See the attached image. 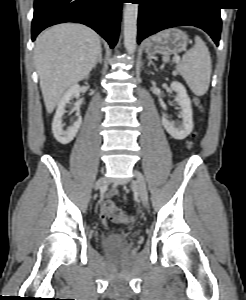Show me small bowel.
Instances as JSON below:
<instances>
[{
	"mask_svg": "<svg viewBox=\"0 0 246 300\" xmlns=\"http://www.w3.org/2000/svg\"><path fill=\"white\" fill-rule=\"evenodd\" d=\"M113 193H115V191H113ZM101 219H102V221L103 222H105L107 219L104 217V215H103V211L101 212Z\"/></svg>",
	"mask_w": 246,
	"mask_h": 300,
	"instance_id": "c3829d8e",
	"label": "small bowel"
}]
</instances>
